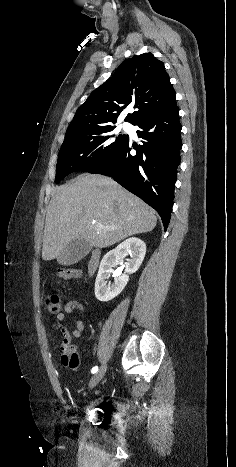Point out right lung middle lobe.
<instances>
[{
  "label": "right lung middle lobe",
  "instance_id": "1",
  "mask_svg": "<svg viewBox=\"0 0 236 467\" xmlns=\"http://www.w3.org/2000/svg\"><path fill=\"white\" fill-rule=\"evenodd\" d=\"M129 139L113 126L66 135L59 152L55 183L75 171H89L116 154Z\"/></svg>",
  "mask_w": 236,
  "mask_h": 467
}]
</instances>
